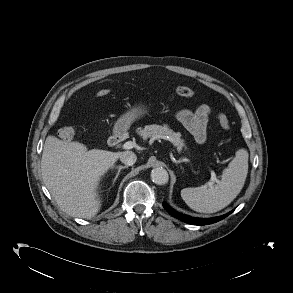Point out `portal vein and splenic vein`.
Returning a JSON list of instances; mask_svg holds the SVG:
<instances>
[{
	"label": "portal vein and splenic vein",
	"instance_id": "1",
	"mask_svg": "<svg viewBox=\"0 0 293 293\" xmlns=\"http://www.w3.org/2000/svg\"><path fill=\"white\" fill-rule=\"evenodd\" d=\"M136 146L135 142L132 141H128L126 143L123 144V149H132ZM214 182H218L215 173L212 171L211 172V181L209 182V184H213Z\"/></svg>",
	"mask_w": 293,
	"mask_h": 293
}]
</instances>
